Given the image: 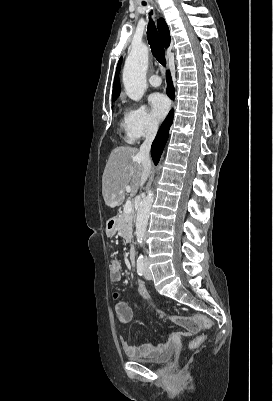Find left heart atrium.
<instances>
[{"label": "left heart atrium", "instance_id": "left-heart-atrium-1", "mask_svg": "<svg viewBox=\"0 0 273 401\" xmlns=\"http://www.w3.org/2000/svg\"><path fill=\"white\" fill-rule=\"evenodd\" d=\"M148 105L152 116L158 121L165 117L170 108L168 99L160 93L151 94L148 97Z\"/></svg>", "mask_w": 273, "mask_h": 401}]
</instances>
